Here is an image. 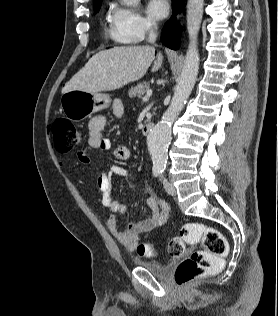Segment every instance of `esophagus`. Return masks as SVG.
Returning a JSON list of instances; mask_svg holds the SVG:
<instances>
[{"label": "esophagus", "mask_w": 278, "mask_h": 316, "mask_svg": "<svg viewBox=\"0 0 278 316\" xmlns=\"http://www.w3.org/2000/svg\"><path fill=\"white\" fill-rule=\"evenodd\" d=\"M180 17V14H177V18H179Z\"/></svg>", "instance_id": "34e87169"}]
</instances>
